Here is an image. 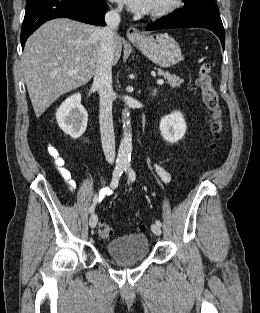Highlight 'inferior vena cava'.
Instances as JSON below:
<instances>
[{
	"instance_id": "602c4592",
	"label": "inferior vena cava",
	"mask_w": 260,
	"mask_h": 313,
	"mask_svg": "<svg viewBox=\"0 0 260 313\" xmlns=\"http://www.w3.org/2000/svg\"><path fill=\"white\" fill-rule=\"evenodd\" d=\"M121 8L108 11L105 14L106 26L99 29V52L94 73L93 85L100 96V132L101 143L106 161H115V136L112 119V103L114 93L112 89V59L113 42L120 23Z\"/></svg>"
}]
</instances>
